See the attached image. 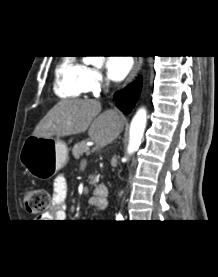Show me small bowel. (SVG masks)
Returning a JSON list of instances; mask_svg holds the SVG:
<instances>
[{
  "instance_id": "obj_1",
  "label": "small bowel",
  "mask_w": 218,
  "mask_h": 277,
  "mask_svg": "<svg viewBox=\"0 0 218 277\" xmlns=\"http://www.w3.org/2000/svg\"><path fill=\"white\" fill-rule=\"evenodd\" d=\"M67 180L63 175H59L54 180L53 197L51 210L42 215L41 220H55V222H63L66 217L67 209Z\"/></svg>"
}]
</instances>
